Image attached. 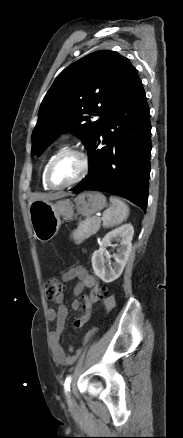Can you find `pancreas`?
I'll return each mask as SVG.
<instances>
[{"mask_svg": "<svg viewBox=\"0 0 183 438\" xmlns=\"http://www.w3.org/2000/svg\"><path fill=\"white\" fill-rule=\"evenodd\" d=\"M101 220L97 217H88L78 224L77 230L73 232V239L76 244L82 243L90 236L96 234L100 228Z\"/></svg>", "mask_w": 183, "mask_h": 438, "instance_id": "cf45deb5", "label": "pancreas"}]
</instances>
